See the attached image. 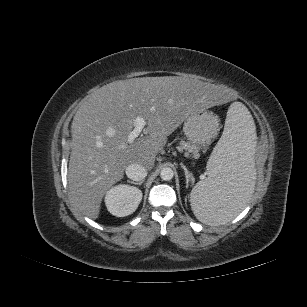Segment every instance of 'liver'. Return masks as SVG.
Listing matches in <instances>:
<instances>
[{
  "mask_svg": "<svg viewBox=\"0 0 307 307\" xmlns=\"http://www.w3.org/2000/svg\"><path fill=\"white\" fill-rule=\"evenodd\" d=\"M230 98L226 89L178 76L132 78L95 89L71 126L68 185L76 207L97 219L104 195L128 165L151 169L168 136L190 114ZM137 117L147 121L145 135L129 143Z\"/></svg>",
  "mask_w": 307,
  "mask_h": 307,
  "instance_id": "1",
  "label": "liver"
}]
</instances>
